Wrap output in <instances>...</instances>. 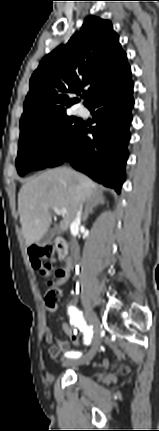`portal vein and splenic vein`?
<instances>
[{"label": "portal vein and splenic vein", "instance_id": "1", "mask_svg": "<svg viewBox=\"0 0 159 431\" xmlns=\"http://www.w3.org/2000/svg\"><path fill=\"white\" fill-rule=\"evenodd\" d=\"M53 210L57 215L64 216L67 213L66 209H58L56 207H53Z\"/></svg>", "mask_w": 159, "mask_h": 431}]
</instances>
